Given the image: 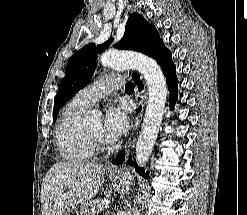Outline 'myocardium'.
Returning <instances> with one entry per match:
<instances>
[{
  "instance_id": "myocardium-1",
  "label": "myocardium",
  "mask_w": 247,
  "mask_h": 215,
  "mask_svg": "<svg viewBox=\"0 0 247 215\" xmlns=\"http://www.w3.org/2000/svg\"><path fill=\"white\" fill-rule=\"evenodd\" d=\"M84 134L90 146L95 152L104 150L108 146V142L105 139L92 134L87 129H84Z\"/></svg>"
}]
</instances>
